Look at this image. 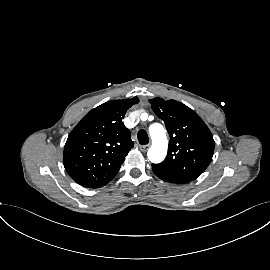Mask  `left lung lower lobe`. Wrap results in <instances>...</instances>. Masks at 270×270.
Returning <instances> with one entry per match:
<instances>
[{"label":"left lung lower lobe","mask_w":270,"mask_h":270,"mask_svg":"<svg viewBox=\"0 0 270 270\" xmlns=\"http://www.w3.org/2000/svg\"><path fill=\"white\" fill-rule=\"evenodd\" d=\"M152 170L157 177H159L160 179H162L166 182L177 183V184H184V183L190 182V180L183 178L181 176H177V175H174L171 173L162 172V171L156 170L155 168H152Z\"/></svg>","instance_id":"obj_1"}]
</instances>
